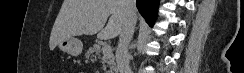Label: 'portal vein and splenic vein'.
I'll return each instance as SVG.
<instances>
[{"mask_svg": "<svg viewBox=\"0 0 244 73\" xmlns=\"http://www.w3.org/2000/svg\"><path fill=\"white\" fill-rule=\"evenodd\" d=\"M109 52H111V47H109V46H104L103 48H102V53L105 55L106 53H109Z\"/></svg>", "mask_w": 244, "mask_h": 73, "instance_id": "1", "label": "portal vein and splenic vein"}]
</instances>
